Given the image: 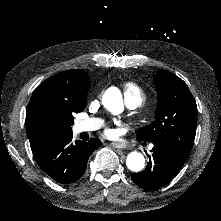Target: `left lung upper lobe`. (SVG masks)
<instances>
[{
  "mask_svg": "<svg viewBox=\"0 0 221 221\" xmlns=\"http://www.w3.org/2000/svg\"><path fill=\"white\" fill-rule=\"evenodd\" d=\"M158 101L156 119L142 127L138 141L162 140L189 155L197 126L196 101L187 84L168 71H158L154 76Z\"/></svg>",
  "mask_w": 221,
  "mask_h": 221,
  "instance_id": "obj_1",
  "label": "left lung upper lobe"
}]
</instances>
